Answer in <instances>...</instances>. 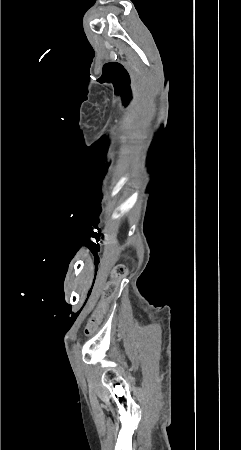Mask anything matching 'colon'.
<instances>
[{
    "label": "colon",
    "instance_id": "5ec220e1",
    "mask_svg": "<svg viewBox=\"0 0 241 450\" xmlns=\"http://www.w3.org/2000/svg\"><path fill=\"white\" fill-rule=\"evenodd\" d=\"M127 274V268L124 264H117L110 276V280L107 281L105 289L103 290L102 297L99 298L98 304L95 306L94 314L88 320L85 333L87 336L93 334L98 326L99 319L104 317L108 306L113 301L114 294L117 293L118 280L124 278Z\"/></svg>",
    "mask_w": 241,
    "mask_h": 450
}]
</instances>
